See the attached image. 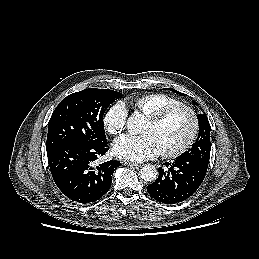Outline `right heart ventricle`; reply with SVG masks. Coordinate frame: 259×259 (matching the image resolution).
Segmentation results:
<instances>
[{
	"label": "right heart ventricle",
	"mask_w": 259,
	"mask_h": 259,
	"mask_svg": "<svg viewBox=\"0 0 259 259\" xmlns=\"http://www.w3.org/2000/svg\"><path fill=\"white\" fill-rule=\"evenodd\" d=\"M127 103L149 117L167 106L180 103V101L164 93H147L129 98Z\"/></svg>",
	"instance_id": "obj_1"
}]
</instances>
